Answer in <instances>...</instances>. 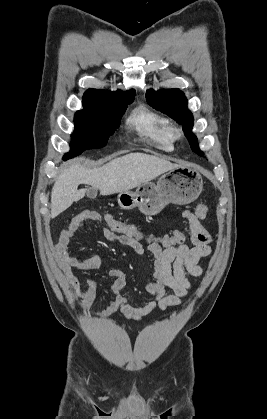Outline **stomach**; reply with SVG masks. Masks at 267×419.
Masks as SVG:
<instances>
[{"mask_svg": "<svg viewBox=\"0 0 267 419\" xmlns=\"http://www.w3.org/2000/svg\"><path fill=\"white\" fill-rule=\"evenodd\" d=\"M203 189L200 172L190 165H178L160 176L157 183H142L135 192L118 194V204L124 210L136 207L145 215L158 214L169 203L184 205L193 202Z\"/></svg>", "mask_w": 267, "mask_h": 419, "instance_id": "obj_1", "label": "stomach"}]
</instances>
